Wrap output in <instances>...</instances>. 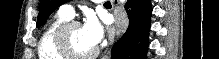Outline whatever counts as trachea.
Wrapping results in <instances>:
<instances>
[{
    "mask_svg": "<svg viewBox=\"0 0 219 59\" xmlns=\"http://www.w3.org/2000/svg\"><path fill=\"white\" fill-rule=\"evenodd\" d=\"M105 4H110V2H109V1H107V2H105Z\"/></svg>",
    "mask_w": 219,
    "mask_h": 59,
    "instance_id": "3493384b",
    "label": "trachea"
}]
</instances>
